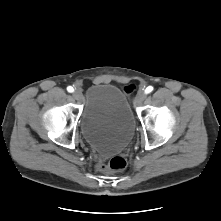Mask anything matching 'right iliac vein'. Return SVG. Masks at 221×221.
I'll return each instance as SVG.
<instances>
[{
  "label": "right iliac vein",
  "instance_id": "obj_1",
  "mask_svg": "<svg viewBox=\"0 0 221 221\" xmlns=\"http://www.w3.org/2000/svg\"><path fill=\"white\" fill-rule=\"evenodd\" d=\"M73 97H74L76 100L80 101V100L82 99V92H81V90L76 89V90L74 91V93H73Z\"/></svg>",
  "mask_w": 221,
  "mask_h": 221
}]
</instances>
